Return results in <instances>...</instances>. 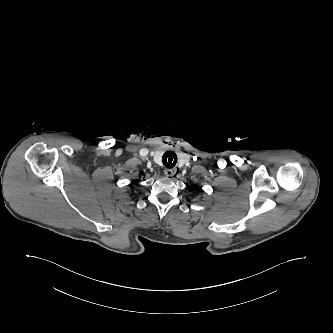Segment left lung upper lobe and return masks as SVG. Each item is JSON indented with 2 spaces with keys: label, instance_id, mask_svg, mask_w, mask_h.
<instances>
[{
  "label": "left lung upper lobe",
  "instance_id": "5c2ea615",
  "mask_svg": "<svg viewBox=\"0 0 333 333\" xmlns=\"http://www.w3.org/2000/svg\"><path fill=\"white\" fill-rule=\"evenodd\" d=\"M189 190H191V188H188ZM194 189H197V187L195 186Z\"/></svg>",
  "mask_w": 333,
  "mask_h": 333
}]
</instances>
